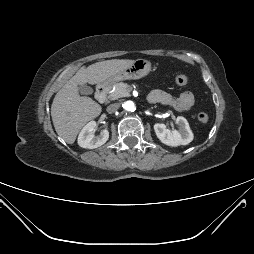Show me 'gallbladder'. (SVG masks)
Segmentation results:
<instances>
[{
  "label": "gallbladder",
  "mask_w": 254,
  "mask_h": 254,
  "mask_svg": "<svg viewBox=\"0 0 254 254\" xmlns=\"http://www.w3.org/2000/svg\"><path fill=\"white\" fill-rule=\"evenodd\" d=\"M78 90L83 95H90L93 93V89L87 85H81L78 87Z\"/></svg>",
  "instance_id": "gallbladder-1"
}]
</instances>
